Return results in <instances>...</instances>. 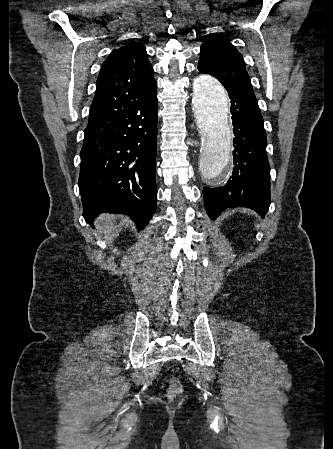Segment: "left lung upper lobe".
Wrapping results in <instances>:
<instances>
[{"instance_id":"1","label":"left lung upper lobe","mask_w":333,"mask_h":449,"mask_svg":"<svg viewBox=\"0 0 333 449\" xmlns=\"http://www.w3.org/2000/svg\"><path fill=\"white\" fill-rule=\"evenodd\" d=\"M197 67L200 72L217 78L226 89L255 96L243 57L230 42L209 37L201 45Z\"/></svg>"}]
</instances>
